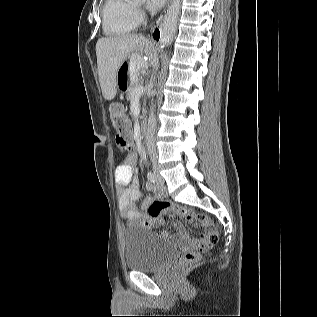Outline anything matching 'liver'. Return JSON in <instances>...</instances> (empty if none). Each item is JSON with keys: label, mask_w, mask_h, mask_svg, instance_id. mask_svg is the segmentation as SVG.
Wrapping results in <instances>:
<instances>
[{"label": "liver", "mask_w": 317, "mask_h": 317, "mask_svg": "<svg viewBox=\"0 0 317 317\" xmlns=\"http://www.w3.org/2000/svg\"><path fill=\"white\" fill-rule=\"evenodd\" d=\"M142 53L155 62L154 43L142 35L123 34L100 38L97 41V69L102 94L106 100L110 101L116 96L117 72L130 55H134L137 69L148 66V63L141 56Z\"/></svg>", "instance_id": "1"}]
</instances>
